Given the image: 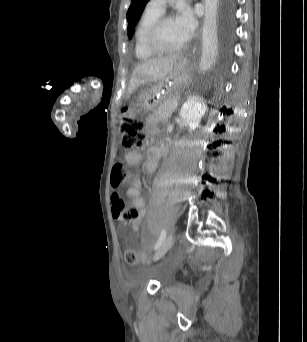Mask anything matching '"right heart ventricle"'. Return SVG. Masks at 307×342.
<instances>
[{
	"label": "right heart ventricle",
	"instance_id": "right-heart-ventricle-1",
	"mask_svg": "<svg viewBox=\"0 0 307 342\" xmlns=\"http://www.w3.org/2000/svg\"><path fill=\"white\" fill-rule=\"evenodd\" d=\"M160 14L150 10L148 7L143 9L137 20L134 31V54L140 61H150L156 58L145 46V34L151 22L159 17Z\"/></svg>",
	"mask_w": 307,
	"mask_h": 342
}]
</instances>
